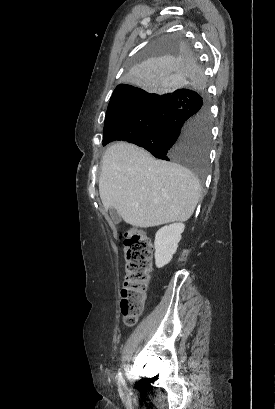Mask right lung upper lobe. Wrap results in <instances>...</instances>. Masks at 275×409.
<instances>
[{
    "label": "right lung upper lobe",
    "instance_id": "right-lung-upper-lobe-1",
    "mask_svg": "<svg viewBox=\"0 0 275 409\" xmlns=\"http://www.w3.org/2000/svg\"><path fill=\"white\" fill-rule=\"evenodd\" d=\"M145 92V90H135V87L133 85H124V84H120L116 87V89L114 90L109 105H108V109L110 110L111 108H113L116 104H118L119 102H121L122 100L133 96L135 94L138 93H143Z\"/></svg>",
    "mask_w": 275,
    "mask_h": 409
}]
</instances>
